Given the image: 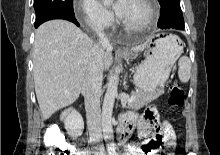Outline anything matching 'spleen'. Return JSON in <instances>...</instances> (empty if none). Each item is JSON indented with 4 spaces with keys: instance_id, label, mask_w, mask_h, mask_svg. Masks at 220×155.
Returning <instances> with one entry per match:
<instances>
[{
    "instance_id": "spleen-1",
    "label": "spleen",
    "mask_w": 220,
    "mask_h": 155,
    "mask_svg": "<svg viewBox=\"0 0 220 155\" xmlns=\"http://www.w3.org/2000/svg\"><path fill=\"white\" fill-rule=\"evenodd\" d=\"M191 76V62L187 56H182L178 61V77L182 83H187Z\"/></svg>"
}]
</instances>
